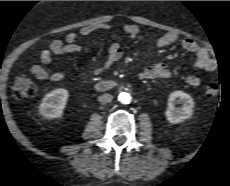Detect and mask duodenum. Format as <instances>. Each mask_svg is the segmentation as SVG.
I'll return each mask as SVG.
<instances>
[{
    "instance_id": "obj_1",
    "label": "duodenum",
    "mask_w": 230,
    "mask_h": 186,
    "mask_svg": "<svg viewBox=\"0 0 230 186\" xmlns=\"http://www.w3.org/2000/svg\"><path fill=\"white\" fill-rule=\"evenodd\" d=\"M115 86L116 83L110 80L100 81L95 84V88L99 91H108L113 89Z\"/></svg>"
}]
</instances>
